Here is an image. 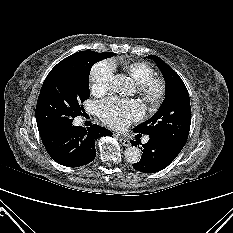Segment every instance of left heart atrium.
Here are the masks:
<instances>
[{"label": "left heart atrium", "instance_id": "1", "mask_svg": "<svg viewBox=\"0 0 233 233\" xmlns=\"http://www.w3.org/2000/svg\"><path fill=\"white\" fill-rule=\"evenodd\" d=\"M97 111L102 121L115 129H124L131 122L141 119L144 114L143 106L139 101L117 97L101 101Z\"/></svg>", "mask_w": 233, "mask_h": 233}]
</instances>
